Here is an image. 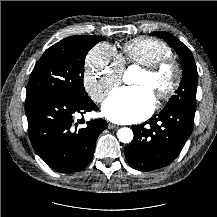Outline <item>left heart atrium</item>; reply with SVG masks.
<instances>
[{"instance_id": "obj_1", "label": "left heart atrium", "mask_w": 217, "mask_h": 217, "mask_svg": "<svg viewBox=\"0 0 217 217\" xmlns=\"http://www.w3.org/2000/svg\"><path fill=\"white\" fill-rule=\"evenodd\" d=\"M154 95L144 86H128L114 90L104 101L102 112L117 123L138 122L153 110Z\"/></svg>"}]
</instances>
